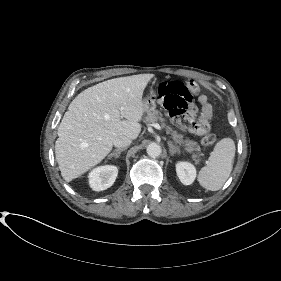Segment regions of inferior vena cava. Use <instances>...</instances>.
Returning <instances> with one entry per match:
<instances>
[{"instance_id": "inferior-vena-cava-1", "label": "inferior vena cava", "mask_w": 281, "mask_h": 281, "mask_svg": "<svg viewBox=\"0 0 281 281\" xmlns=\"http://www.w3.org/2000/svg\"><path fill=\"white\" fill-rule=\"evenodd\" d=\"M132 140L126 136L117 137L113 141V145L117 148H125L131 144Z\"/></svg>"}]
</instances>
